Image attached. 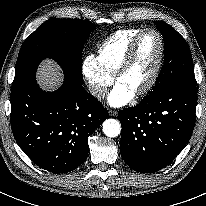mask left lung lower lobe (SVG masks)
I'll return each instance as SVG.
<instances>
[{"label": "left lung lower lobe", "mask_w": 206, "mask_h": 206, "mask_svg": "<svg viewBox=\"0 0 206 206\" xmlns=\"http://www.w3.org/2000/svg\"><path fill=\"white\" fill-rule=\"evenodd\" d=\"M196 105V86L179 85L121 110L118 117L124 162L142 173L169 165L192 135Z\"/></svg>", "instance_id": "obj_1"}]
</instances>
